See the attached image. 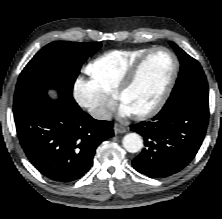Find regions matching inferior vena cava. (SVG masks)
<instances>
[{"instance_id":"602c4592","label":"inferior vena cava","mask_w":222,"mask_h":219,"mask_svg":"<svg viewBox=\"0 0 222 219\" xmlns=\"http://www.w3.org/2000/svg\"><path fill=\"white\" fill-rule=\"evenodd\" d=\"M90 113L94 118L102 120H110L112 116L111 112L101 108L91 109Z\"/></svg>"}]
</instances>
